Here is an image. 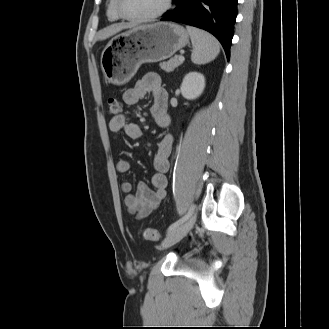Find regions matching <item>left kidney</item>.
Segmentation results:
<instances>
[{"mask_svg": "<svg viewBox=\"0 0 329 329\" xmlns=\"http://www.w3.org/2000/svg\"><path fill=\"white\" fill-rule=\"evenodd\" d=\"M205 88V77L198 72H189L185 75L180 90L184 98L193 100L198 98Z\"/></svg>", "mask_w": 329, "mask_h": 329, "instance_id": "left-kidney-1", "label": "left kidney"}]
</instances>
